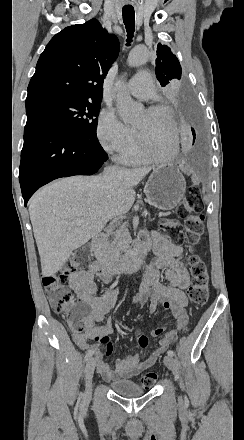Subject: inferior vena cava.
<instances>
[{
    "mask_svg": "<svg viewBox=\"0 0 244 440\" xmlns=\"http://www.w3.org/2000/svg\"><path fill=\"white\" fill-rule=\"evenodd\" d=\"M119 170L118 166H109V168H106L103 172V178H108L109 174H115Z\"/></svg>",
    "mask_w": 244,
    "mask_h": 440,
    "instance_id": "1",
    "label": "inferior vena cava"
}]
</instances>
